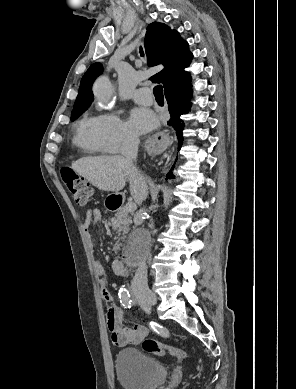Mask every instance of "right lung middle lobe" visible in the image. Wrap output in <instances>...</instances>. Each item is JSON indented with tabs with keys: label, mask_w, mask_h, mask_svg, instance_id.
Returning <instances> with one entry per match:
<instances>
[{
	"label": "right lung middle lobe",
	"mask_w": 296,
	"mask_h": 389,
	"mask_svg": "<svg viewBox=\"0 0 296 389\" xmlns=\"http://www.w3.org/2000/svg\"><path fill=\"white\" fill-rule=\"evenodd\" d=\"M88 107H84V108H80V109H76L74 110L72 113H71V120H74L76 119L77 117H79Z\"/></svg>",
	"instance_id": "1"
}]
</instances>
